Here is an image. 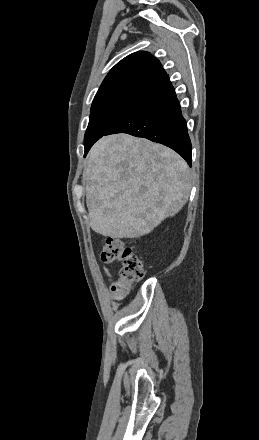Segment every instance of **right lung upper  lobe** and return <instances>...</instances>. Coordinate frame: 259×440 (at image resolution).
Listing matches in <instances>:
<instances>
[{"label":"right lung upper lobe","instance_id":"right-lung-upper-lobe-1","mask_svg":"<svg viewBox=\"0 0 259 440\" xmlns=\"http://www.w3.org/2000/svg\"><path fill=\"white\" fill-rule=\"evenodd\" d=\"M166 75L159 60L149 52H135L110 70L95 98L123 91L148 92Z\"/></svg>","mask_w":259,"mask_h":440}]
</instances>
